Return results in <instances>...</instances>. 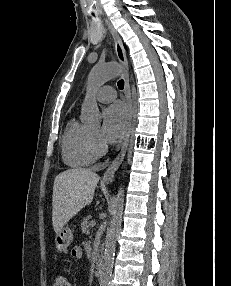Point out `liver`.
Here are the masks:
<instances>
[{"label": "liver", "mask_w": 231, "mask_h": 286, "mask_svg": "<svg viewBox=\"0 0 231 286\" xmlns=\"http://www.w3.org/2000/svg\"><path fill=\"white\" fill-rule=\"evenodd\" d=\"M100 177L89 169H68L58 174L52 195V224L59 232L81 209L89 205Z\"/></svg>", "instance_id": "liver-1"}]
</instances>
